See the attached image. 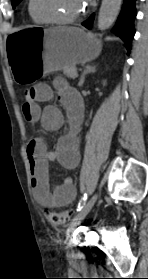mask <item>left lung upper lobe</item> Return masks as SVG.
I'll use <instances>...</instances> for the list:
<instances>
[{"label": "left lung upper lobe", "mask_w": 148, "mask_h": 279, "mask_svg": "<svg viewBox=\"0 0 148 279\" xmlns=\"http://www.w3.org/2000/svg\"><path fill=\"white\" fill-rule=\"evenodd\" d=\"M20 1H21V0H11V3H12L13 8H15V6H16L17 4H19Z\"/></svg>", "instance_id": "left-lung-upper-lobe-1"}]
</instances>
